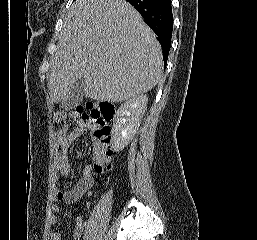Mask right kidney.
I'll use <instances>...</instances> for the list:
<instances>
[{
	"instance_id": "ca27d5eb",
	"label": "right kidney",
	"mask_w": 257,
	"mask_h": 240,
	"mask_svg": "<svg viewBox=\"0 0 257 240\" xmlns=\"http://www.w3.org/2000/svg\"><path fill=\"white\" fill-rule=\"evenodd\" d=\"M147 103L146 95H138L119 107L112 127V148L115 151L123 150L135 136L145 114Z\"/></svg>"
}]
</instances>
